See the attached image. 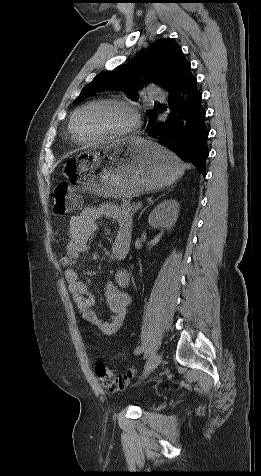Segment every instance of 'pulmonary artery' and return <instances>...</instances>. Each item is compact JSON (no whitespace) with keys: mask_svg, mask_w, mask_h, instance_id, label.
<instances>
[{"mask_svg":"<svg viewBox=\"0 0 261 476\" xmlns=\"http://www.w3.org/2000/svg\"><path fill=\"white\" fill-rule=\"evenodd\" d=\"M148 94L152 100L162 101L165 99L164 93L156 87H150Z\"/></svg>","mask_w":261,"mask_h":476,"instance_id":"e3ab8cb5","label":"pulmonary artery"}]
</instances>
